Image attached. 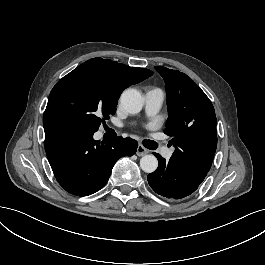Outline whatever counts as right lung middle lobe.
<instances>
[{"instance_id": "obj_1", "label": "right lung middle lobe", "mask_w": 265, "mask_h": 265, "mask_svg": "<svg viewBox=\"0 0 265 265\" xmlns=\"http://www.w3.org/2000/svg\"><path fill=\"white\" fill-rule=\"evenodd\" d=\"M121 93L101 66L88 60L54 86L43 121L60 120L95 133L115 113Z\"/></svg>"}]
</instances>
